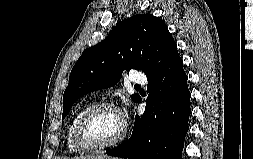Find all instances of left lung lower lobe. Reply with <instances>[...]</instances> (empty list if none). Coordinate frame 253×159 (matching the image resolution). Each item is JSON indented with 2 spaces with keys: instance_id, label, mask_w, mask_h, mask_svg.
<instances>
[{
  "instance_id": "obj_1",
  "label": "left lung lower lobe",
  "mask_w": 253,
  "mask_h": 159,
  "mask_svg": "<svg viewBox=\"0 0 253 159\" xmlns=\"http://www.w3.org/2000/svg\"><path fill=\"white\" fill-rule=\"evenodd\" d=\"M147 93L144 114L136 115L131 137L107 154L128 159H181L191 94L178 52L148 77Z\"/></svg>"
}]
</instances>
